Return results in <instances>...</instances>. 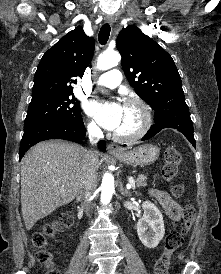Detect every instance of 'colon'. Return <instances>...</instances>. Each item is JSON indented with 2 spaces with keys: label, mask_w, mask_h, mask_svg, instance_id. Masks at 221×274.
<instances>
[{
  "label": "colon",
  "mask_w": 221,
  "mask_h": 274,
  "mask_svg": "<svg viewBox=\"0 0 221 274\" xmlns=\"http://www.w3.org/2000/svg\"><path fill=\"white\" fill-rule=\"evenodd\" d=\"M164 158L165 163L162 174L167 181H170L177 174L181 156L175 147L168 146L165 150ZM171 191L174 196H180L183 192V187L177 184L172 187ZM195 214L196 211L193 205L187 204L184 207L182 229L168 234L164 251L155 263L154 274H168L171 257L183 245L194 222ZM70 223V216L62 215L56 222L45 225L33 235L32 242L37 249V259L48 268L47 274H60L58 267L53 261V254L48 249L49 240L55 236L59 229L69 226Z\"/></svg>",
  "instance_id": "1"
}]
</instances>
